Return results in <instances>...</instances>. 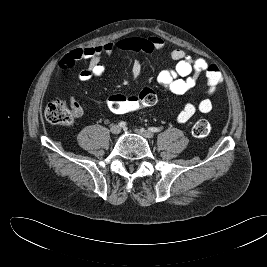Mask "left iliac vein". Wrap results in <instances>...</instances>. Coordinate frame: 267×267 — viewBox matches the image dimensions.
<instances>
[{"label":"left iliac vein","instance_id":"left-iliac-vein-1","mask_svg":"<svg viewBox=\"0 0 267 267\" xmlns=\"http://www.w3.org/2000/svg\"><path fill=\"white\" fill-rule=\"evenodd\" d=\"M134 132L145 137V138H148V139H151L154 137V133L151 132V131H148V130H145L143 128L141 129H134Z\"/></svg>","mask_w":267,"mask_h":267}]
</instances>
